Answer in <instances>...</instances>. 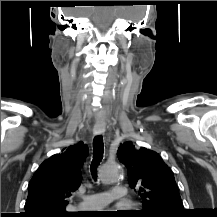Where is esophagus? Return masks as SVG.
<instances>
[{"instance_id": "34e87169", "label": "esophagus", "mask_w": 217, "mask_h": 217, "mask_svg": "<svg viewBox=\"0 0 217 217\" xmlns=\"http://www.w3.org/2000/svg\"><path fill=\"white\" fill-rule=\"evenodd\" d=\"M105 132V126L102 124H96L93 128V133L95 135H100L103 134Z\"/></svg>"}]
</instances>
